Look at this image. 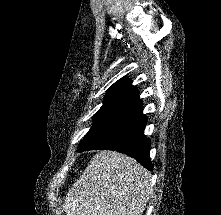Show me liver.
<instances>
[{
  "instance_id": "obj_1",
  "label": "liver",
  "mask_w": 221,
  "mask_h": 215,
  "mask_svg": "<svg viewBox=\"0 0 221 215\" xmlns=\"http://www.w3.org/2000/svg\"><path fill=\"white\" fill-rule=\"evenodd\" d=\"M150 176L133 158L115 151L95 154L67 193V215H142Z\"/></svg>"
}]
</instances>
